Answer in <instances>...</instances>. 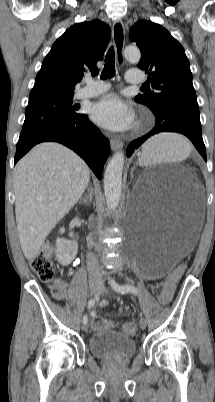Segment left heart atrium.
I'll return each mask as SVG.
<instances>
[{
    "label": "left heart atrium",
    "mask_w": 215,
    "mask_h": 402,
    "mask_svg": "<svg viewBox=\"0 0 215 402\" xmlns=\"http://www.w3.org/2000/svg\"><path fill=\"white\" fill-rule=\"evenodd\" d=\"M92 119L112 131L127 129L133 120L131 109L115 94L101 98L92 108Z\"/></svg>",
    "instance_id": "1"
}]
</instances>
